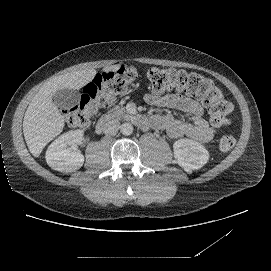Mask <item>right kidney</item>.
Here are the masks:
<instances>
[{"label":"right kidney","instance_id":"right-kidney-1","mask_svg":"<svg viewBox=\"0 0 271 271\" xmlns=\"http://www.w3.org/2000/svg\"><path fill=\"white\" fill-rule=\"evenodd\" d=\"M83 130H70L55 139L46 151L47 164L54 170L70 173L80 169L84 156L76 145L82 141Z\"/></svg>","mask_w":271,"mask_h":271}]
</instances>
